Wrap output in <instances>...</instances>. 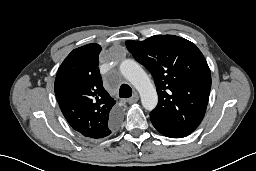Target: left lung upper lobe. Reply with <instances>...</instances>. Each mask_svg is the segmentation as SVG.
Instances as JSON below:
<instances>
[{"label":"left lung upper lobe","mask_w":256,"mask_h":171,"mask_svg":"<svg viewBox=\"0 0 256 171\" xmlns=\"http://www.w3.org/2000/svg\"><path fill=\"white\" fill-rule=\"evenodd\" d=\"M133 57L152 74L159 97L151 121L185 137L201 123L209 99L211 74L201 51L174 35L126 41Z\"/></svg>","instance_id":"obj_1"}]
</instances>
